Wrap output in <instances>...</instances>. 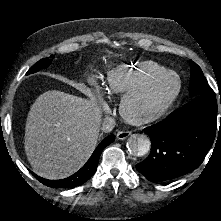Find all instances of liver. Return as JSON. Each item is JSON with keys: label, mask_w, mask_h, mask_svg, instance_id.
Instances as JSON below:
<instances>
[{"label": "liver", "mask_w": 221, "mask_h": 221, "mask_svg": "<svg viewBox=\"0 0 221 221\" xmlns=\"http://www.w3.org/2000/svg\"><path fill=\"white\" fill-rule=\"evenodd\" d=\"M101 118L93 97L86 100L58 90L41 94L25 127V153L33 171L57 180L79 170L97 146Z\"/></svg>", "instance_id": "obj_1"}]
</instances>
